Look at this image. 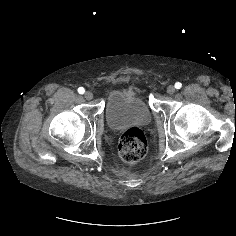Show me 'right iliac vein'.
I'll return each mask as SVG.
<instances>
[{
  "instance_id": "63e3f726",
  "label": "right iliac vein",
  "mask_w": 236,
  "mask_h": 236,
  "mask_svg": "<svg viewBox=\"0 0 236 236\" xmlns=\"http://www.w3.org/2000/svg\"><path fill=\"white\" fill-rule=\"evenodd\" d=\"M84 97L87 99V100H92L93 99V93L90 92V91H86L84 93Z\"/></svg>"
}]
</instances>
